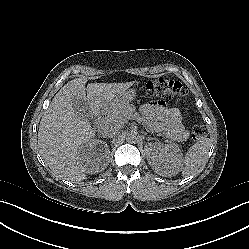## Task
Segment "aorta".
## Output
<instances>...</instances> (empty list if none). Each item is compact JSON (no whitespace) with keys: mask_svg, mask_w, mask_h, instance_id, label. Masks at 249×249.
<instances>
[{"mask_svg":"<svg viewBox=\"0 0 249 249\" xmlns=\"http://www.w3.org/2000/svg\"><path fill=\"white\" fill-rule=\"evenodd\" d=\"M127 141H133V140H136L137 139V135L133 132H128L127 133Z\"/></svg>","mask_w":249,"mask_h":249,"instance_id":"obj_1","label":"aorta"}]
</instances>
